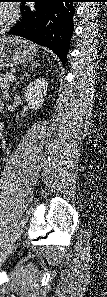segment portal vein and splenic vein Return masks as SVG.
<instances>
[{"label": "portal vein and splenic vein", "instance_id": "1", "mask_svg": "<svg viewBox=\"0 0 107 297\" xmlns=\"http://www.w3.org/2000/svg\"><path fill=\"white\" fill-rule=\"evenodd\" d=\"M8 79H9V81H13L14 80V76L11 75Z\"/></svg>", "mask_w": 107, "mask_h": 297}]
</instances>
